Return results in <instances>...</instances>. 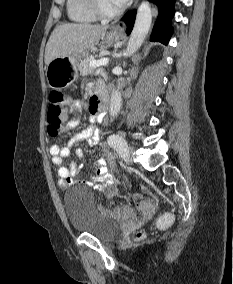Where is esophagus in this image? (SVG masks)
I'll return each instance as SVG.
<instances>
[{"label":"esophagus","instance_id":"34e87169","mask_svg":"<svg viewBox=\"0 0 233 284\" xmlns=\"http://www.w3.org/2000/svg\"><path fill=\"white\" fill-rule=\"evenodd\" d=\"M125 29H126V25L123 22H118L114 27L115 32H124Z\"/></svg>","mask_w":233,"mask_h":284}]
</instances>
